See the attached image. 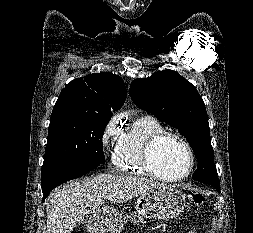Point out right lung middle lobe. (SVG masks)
Masks as SVG:
<instances>
[{"instance_id": "1", "label": "right lung middle lobe", "mask_w": 253, "mask_h": 233, "mask_svg": "<svg viewBox=\"0 0 253 233\" xmlns=\"http://www.w3.org/2000/svg\"><path fill=\"white\" fill-rule=\"evenodd\" d=\"M112 115L53 109L42 171L60 164L105 162L102 137Z\"/></svg>"}]
</instances>
